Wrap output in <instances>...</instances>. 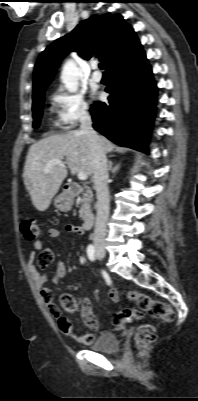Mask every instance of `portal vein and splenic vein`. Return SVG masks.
Here are the masks:
<instances>
[{"instance_id": "1", "label": "portal vein and splenic vein", "mask_w": 198, "mask_h": 401, "mask_svg": "<svg viewBox=\"0 0 198 401\" xmlns=\"http://www.w3.org/2000/svg\"><path fill=\"white\" fill-rule=\"evenodd\" d=\"M54 165H59V166L65 167L64 163H63L61 160H59V159H54V160L50 161V162L46 165V167L44 168V173L50 172V170L52 169V167H53ZM77 177H78L79 180L85 181V180L88 178V175H87L85 172H78V173H77Z\"/></svg>"}]
</instances>
